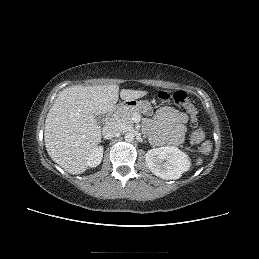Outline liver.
<instances>
[{"label":"liver","instance_id":"obj_1","mask_svg":"<svg viewBox=\"0 0 259 259\" xmlns=\"http://www.w3.org/2000/svg\"><path fill=\"white\" fill-rule=\"evenodd\" d=\"M147 91L122 89V100L138 99ZM119 99V86L76 85L59 92L50 108L44 129L46 150L51 159L70 174L88 168V157L101 142V127L95 115L112 110Z\"/></svg>","mask_w":259,"mask_h":259}]
</instances>
